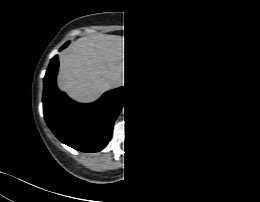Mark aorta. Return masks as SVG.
<instances>
[{"mask_svg": "<svg viewBox=\"0 0 260 202\" xmlns=\"http://www.w3.org/2000/svg\"><path fill=\"white\" fill-rule=\"evenodd\" d=\"M122 112H123V114H124V112H125V108L123 107V110H122Z\"/></svg>", "mask_w": 260, "mask_h": 202, "instance_id": "obj_1", "label": "aorta"}]
</instances>
